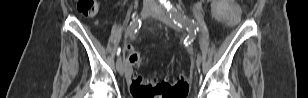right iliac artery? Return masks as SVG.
<instances>
[{
	"label": "right iliac artery",
	"mask_w": 308,
	"mask_h": 98,
	"mask_svg": "<svg viewBox=\"0 0 308 98\" xmlns=\"http://www.w3.org/2000/svg\"><path fill=\"white\" fill-rule=\"evenodd\" d=\"M140 27H141V20L138 19V20H134L133 22H131L130 25L128 26L127 30H126L124 39H126L129 36L130 37L133 36L139 30ZM120 53H121V48L119 47L117 49V56H118L117 63H116L117 69L120 66V60H119Z\"/></svg>",
	"instance_id": "obj_1"
}]
</instances>
